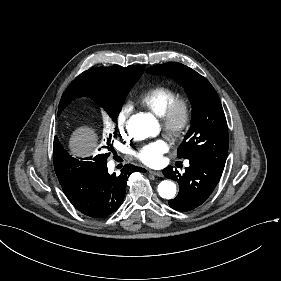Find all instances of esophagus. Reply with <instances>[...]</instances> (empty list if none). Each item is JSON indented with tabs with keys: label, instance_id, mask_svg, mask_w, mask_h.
Instances as JSON below:
<instances>
[{
	"label": "esophagus",
	"instance_id": "esophagus-1",
	"mask_svg": "<svg viewBox=\"0 0 281 281\" xmlns=\"http://www.w3.org/2000/svg\"><path fill=\"white\" fill-rule=\"evenodd\" d=\"M149 173L154 176L163 177V173L161 171L149 170Z\"/></svg>",
	"mask_w": 281,
	"mask_h": 281
}]
</instances>
